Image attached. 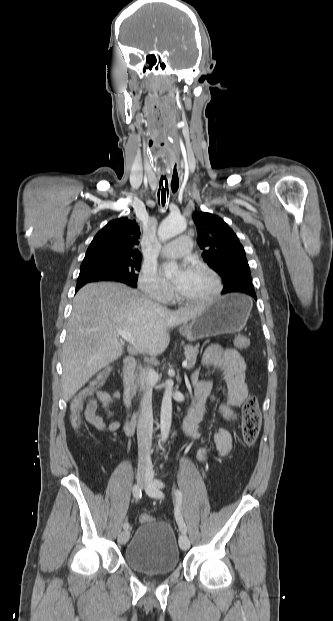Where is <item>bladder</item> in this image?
Returning a JSON list of instances; mask_svg holds the SVG:
<instances>
[{
	"mask_svg": "<svg viewBox=\"0 0 333 621\" xmlns=\"http://www.w3.org/2000/svg\"><path fill=\"white\" fill-rule=\"evenodd\" d=\"M126 564L138 572L163 575L177 568L180 551L171 525L161 520L143 523L124 550Z\"/></svg>",
	"mask_w": 333,
	"mask_h": 621,
	"instance_id": "obj_1",
	"label": "bladder"
}]
</instances>
